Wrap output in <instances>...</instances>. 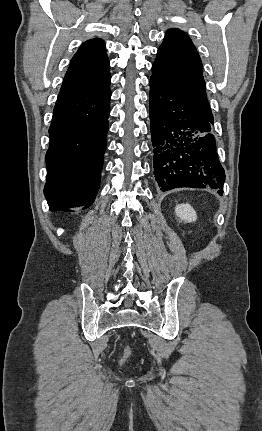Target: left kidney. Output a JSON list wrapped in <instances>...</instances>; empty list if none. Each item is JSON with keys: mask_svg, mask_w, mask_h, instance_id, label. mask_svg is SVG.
<instances>
[{"mask_svg": "<svg viewBox=\"0 0 262 431\" xmlns=\"http://www.w3.org/2000/svg\"><path fill=\"white\" fill-rule=\"evenodd\" d=\"M175 214L184 222H194L197 220L196 212L189 204L177 205L175 207Z\"/></svg>", "mask_w": 262, "mask_h": 431, "instance_id": "1", "label": "left kidney"}]
</instances>
